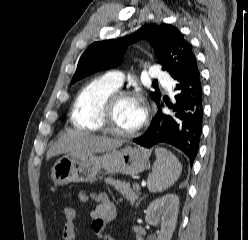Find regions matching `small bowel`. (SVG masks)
Returning a JSON list of instances; mask_svg holds the SVG:
<instances>
[{
	"instance_id": "c3829d8e",
	"label": "small bowel",
	"mask_w": 248,
	"mask_h": 240,
	"mask_svg": "<svg viewBox=\"0 0 248 240\" xmlns=\"http://www.w3.org/2000/svg\"><path fill=\"white\" fill-rule=\"evenodd\" d=\"M89 199H93L98 202V205L91 213L92 229L100 235L104 240H112L108 236L102 234L103 229L107 222L111 221L116 215V204L106 193H93L90 196L85 193H81L80 200L87 202ZM79 233V223L76 217L72 220L65 221L62 238L63 240H75Z\"/></svg>"
}]
</instances>
